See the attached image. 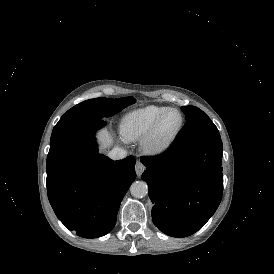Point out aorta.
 Instances as JSON below:
<instances>
[{"label": "aorta", "instance_id": "762f6f07", "mask_svg": "<svg viewBox=\"0 0 274 274\" xmlns=\"http://www.w3.org/2000/svg\"><path fill=\"white\" fill-rule=\"evenodd\" d=\"M130 192L133 197L143 198L148 193V186L144 181H135L130 187Z\"/></svg>", "mask_w": 274, "mask_h": 274}]
</instances>
